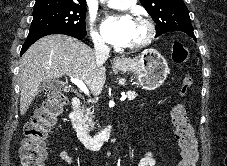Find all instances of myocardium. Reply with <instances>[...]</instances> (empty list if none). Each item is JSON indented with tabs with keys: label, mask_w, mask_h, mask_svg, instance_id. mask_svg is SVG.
I'll return each instance as SVG.
<instances>
[{
	"label": "myocardium",
	"mask_w": 227,
	"mask_h": 166,
	"mask_svg": "<svg viewBox=\"0 0 227 166\" xmlns=\"http://www.w3.org/2000/svg\"><path fill=\"white\" fill-rule=\"evenodd\" d=\"M136 20L144 26L145 35L138 42L130 44L128 46L130 49H141L149 45L152 42L156 32L154 24L144 15H139Z\"/></svg>",
	"instance_id": "f54148a6"
}]
</instances>
